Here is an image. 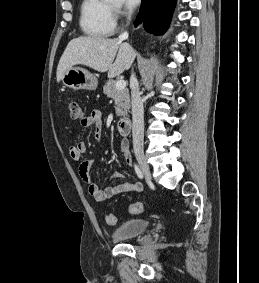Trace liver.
Here are the masks:
<instances>
[{
  "instance_id": "liver-1",
  "label": "liver",
  "mask_w": 259,
  "mask_h": 283,
  "mask_svg": "<svg viewBox=\"0 0 259 283\" xmlns=\"http://www.w3.org/2000/svg\"><path fill=\"white\" fill-rule=\"evenodd\" d=\"M134 58L133 48L128 43H122L121 39L77 37L68 43L60 58L56 73L57 81H61L64 73L78 64L98 72H108L109 78L116 77L131 67Z\"/></svg>"
}]
</instances>
